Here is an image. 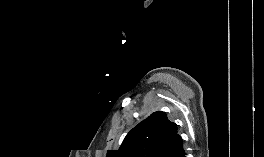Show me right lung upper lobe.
Listing matches in <instances>:
<instances>
[{
    "instance_id": "right-lung-upper-lobe-1",
    "label": "right lung upper lobe",
    "mask_w": 264,
    "mask_h": 157,
    "mask_svg": "<svg viewBox=\"0 0 264 157\" xmlns=\"http://www.w3.org/2000/svg\"><path fill=\"white\" fill-rule=\"evenodd\" d=\"M184 152L177 125L157 111L135 126L119 150L108 151L107 157H182Z\"/></svg>"
}]
</instances>
